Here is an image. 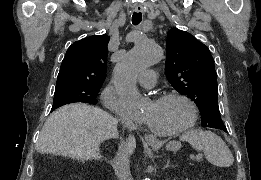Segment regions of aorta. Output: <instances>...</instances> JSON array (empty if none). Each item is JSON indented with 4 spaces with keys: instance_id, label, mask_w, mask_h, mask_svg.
I'll return each instance as SVG.
<instances>
[{
    "instance_id": "obj_1",
    "label": "aorta",
    "mask_w": 261,
    "mask_h": 180,
    "mask_svg": "<svg viewBox=\"0 0 261 180\" xmlns=\"http://www.w3.org/2000/svg\"><path fill=\"white\" fill-rule=\"evenodd\" d=\"M163 58L162 49L150 41H142L126 53L115 65L114 85L122 104L131 111L143 106V98L136 88L139 72L158 63Z\"/></svg>"
}]
</instances>
